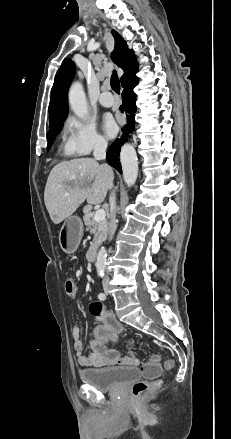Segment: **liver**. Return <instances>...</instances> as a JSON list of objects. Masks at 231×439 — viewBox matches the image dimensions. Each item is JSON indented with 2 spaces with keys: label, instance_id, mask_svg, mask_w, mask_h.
I'll list each match as a JSON object with an SVG mask.
<instances>
[{
  "label": "liver",
  "instance_id": "1",
  "mask_svg": "<svg viewBox=\"0 0 231 439\" xmlns=\"http://www.w3.org/2000/svg\"><path fill=\"white\" fill-rule=\"evenodd\" d=\"M114 174L111 167L93 158L62 161L51 170L44 191V202L54 224L71 216L87 200L96 205L104 201Z\"/></svg>",
  "mask_w": 231,
  "mask_h": 439
}]
</instances>
